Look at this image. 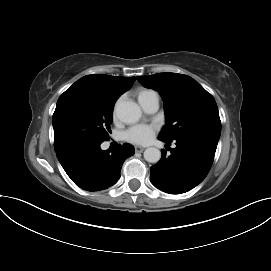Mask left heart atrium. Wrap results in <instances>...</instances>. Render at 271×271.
I'll return each instance as SVG.
<instances>
[{
	"instance_id": "39dd6f15",
	"label": "left heart atrium",
	"mask_w": 271,
	"mask_h": 271,
	"mask_svg": "<svg viewBox=\"0 0 271 271\" xmlns=\"http://www.w3.org/2000/svg\"><path fill=\"white\" fill-rule=\"evenodd\" d=\"M155 135V129L149 125H135L130 127L126 133L125 138L127 141L135 144H148Z\"/></svg>"
}]
</instances>
